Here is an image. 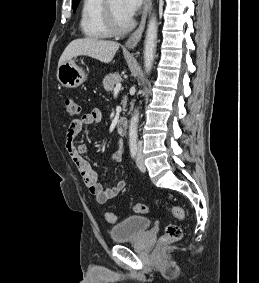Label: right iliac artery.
<instances>
[{
  "instance_id": "1",
  "label": "right iliac artery",
  "mask_w": 259,
  "mask_h": 283,
  "mask_svg": "<svg viewBox=\"0 0 259 283\" xmlns=\"http://www.w3.org/2000/svg\"><path fill=\"white\" fill-rule=\"evenodd\" d=\"M130 152H131L132 158H135L136 157V153H137V147L136 146H132L130 148Z\"/></svg>"
}]
</instances>
